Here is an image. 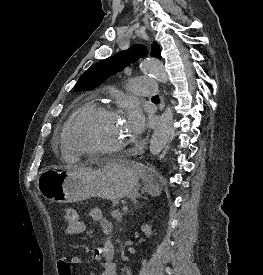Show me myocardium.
Returning a JSON list of instances; mask_svg holds the SVG:
<instances>
[{
	"label": "myocardium",
	"mask_w": 263,
	"mask_h": 275,
	"mask_svg": "<svg viewBox=\"0 0 263 275\" xmlns=\"http://www.w3.org/2000/svg\"><path fill=\"white\" fill-rule=\"evenodd\" d=\"M98 114H107V115H111L114 117H120V114L117 110H115L114 108H112L108 105H101V104L93 105L90 108H88L87 110H85L84 112H82L80 115H78L76 117V119L74 120V122L70 128L68 137H67L70 145L72 146V148L78 155H86V156L115 155V154L123 152L127 148V145H128L127 142L121 143L120 145L112 147V148L97 149V150L84 148L77 143L76 133H77L79 126L88 118L98 115Z\"/></svg>",
	"instance_id": "f54148a6"
}]
</instances>
